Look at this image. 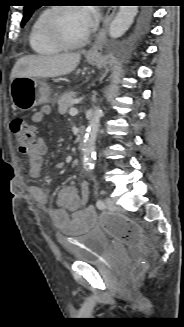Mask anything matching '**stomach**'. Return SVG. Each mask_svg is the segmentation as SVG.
<instances>
[{
	"mask_svg": "<svg viewBox=\"0 0 184 327\" xmlns=\"http://www.w3.org/2000/svg\"><path fill=\"white\" fill-rule=\"evenodd\" d=\"M90 64L99 61V55H87ZM10 96L13 106L22 111H27L35 106L52 101L49 86L39 78L18 76L11 81Z\"/></svg>",
	"mask_w": 184,
	"mask_h": 327,
	"instance_id": "1",
	"label": "stomach"
}]
</instances>
